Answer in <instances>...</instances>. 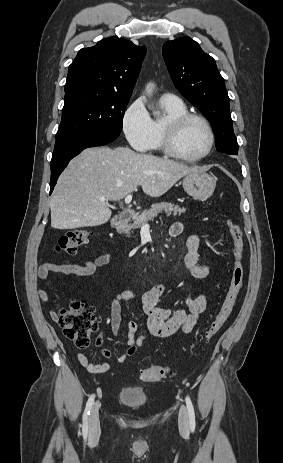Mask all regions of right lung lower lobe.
I'll use <instances>...</instances> for the list:
<instances>
[{
	"mask_svg": "<svg viewBox=\"0 0 283 463\" xmlns=\"http://www.w3.org/2000/svg\"><path fill=\"white\" fill-rule=\"evenodd\" d=\"M117 137L113 134L88 132L56 140L51 159L50 194L59 175L73 157L86 148L106 145Z\"/></svg>",
	"mask_w": 283,
	"mask_h": 463,
	"instance_id": "98d812e1",
	"label": "right lung lower lobe"
}]
</instances>
